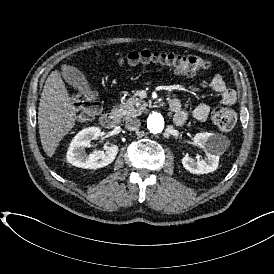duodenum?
I'll list each match as a JSON object with an SVG mask.
<instances>
[{
    "instance_id": "410a0bca",
    "label": "duodenum",
    "mask_w": 274,
    "mask_h": 274,
    "mask_svg": "<svg viewBox=\"0 0 274 274\" xmlns=\"http://www.w3.org/2000/svg\"><path fill=\"white\" fill-rule=\"evenodd\" d=\"M113 105H115V102H113ZM100 123L103 128L112 130L117 127L118 116L114 112H107L101 116Z\"/></svg>"
}]
</instances>
